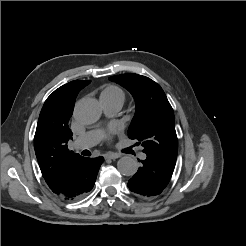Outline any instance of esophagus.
<instances>
[{"mask_svg":"<svg viewBox=\"0 0 246 246\" xmlns=\"http://www.w3.org/2000/svg\"><path fill=\"white\" fill-rule=\"evenodd\" d=\"M104 157H105V159H117V158L121 157V155L118 153L108 152V153L104 154Z\"/></svg>","mask_w":246,"mask_h":246,"instance_id":"obj_1","label":"esophagus"}]
</instances>
